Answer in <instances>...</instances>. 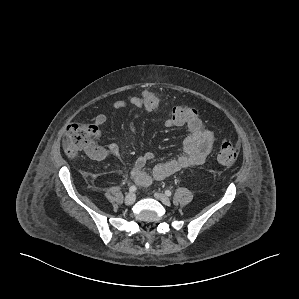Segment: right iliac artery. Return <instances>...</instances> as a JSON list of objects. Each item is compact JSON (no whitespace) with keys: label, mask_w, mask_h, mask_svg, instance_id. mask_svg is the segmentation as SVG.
<instances>
[{"label":"right iliac artery","mask_w":299,"mask_h":299,"mask_svg":"<svg viewBox=\"0 0 299 299\" xmlns=\"http://www.w3.org/2000/svg\"><path fill=\"white\" fill-rule=\"evenodd\" d=\"M137 190L136 186L135 185H132L130 188H129V191L130 192H135Z\"/></svg>","instance_id":"82829eb1"}]
</instances>
